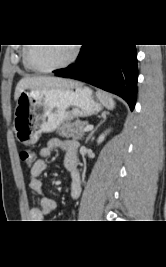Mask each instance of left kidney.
<instances>
[{
  "label": "left kidney",
  "mask_w": 166,
  "mask_h": 267,
  "mask_svg": "<svg viewBox=\"0 0 166 267\" xmlns=\"http://www.w3.org/2000/svg\"><path fill=\"white\" fill-rule=\"evenodd\" d=\"M108 132H109V131H106L105 133H103V134H101V135L99 136V138H98V140H97L98 144L101 143V142L104 140V138H105V136L107 135Z\"/></svg>",
  "instance_id": "1"
}]
</instances>
